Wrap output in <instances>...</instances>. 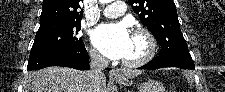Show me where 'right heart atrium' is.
<instances>
[{
    "label": "right heart atrium",
    "instance_id": "d8ad5b80",
    "mask_svg": "<svg viewBox=\"0 0 225 92\" xmlns=\"http://www.w3.org/2000/svg\"><path fill=\"white\" fill-rule=\"evenodd\" d=\"M91 55L96 59H101L100 54L95 49H91Z\"/></svg>",
    "mask_w": 225,
    "mask_h": 92
}]
</instances>
